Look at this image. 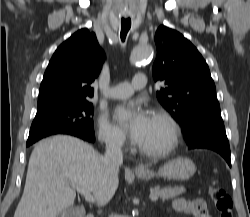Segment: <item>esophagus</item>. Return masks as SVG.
<instances>
[{
	"instance_id": "obj_1",
	"label": "esophagus",
	"mask_w": 250,
	"mask_h": 217,
	"mask_svg": "<svg viewBox=\"0 0 250 217\" xmlns=\"http://www.w3.org/2000/svg\"><path fill=\"white\" fill-rule=\"evenodd\" d=\"M134 170H135V171H141V170H143V168L140 167V166H136V167L134 168Z\"/></svg>"
}]
</instances>
